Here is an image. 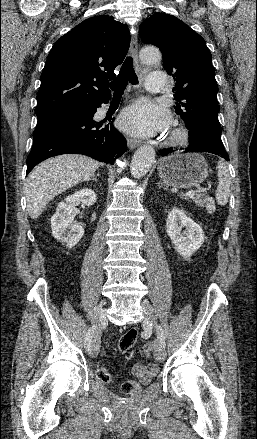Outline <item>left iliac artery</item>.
I'll return each instance as SVG.
<instances>
[{
	"mask_svg": "<svg viewBox=\"0 0 257 439\" xmlns=\"http://www.w3.org/2000/svg\"><path fill=\"white\" fill-rule=\"evenodd\" d=\"M157 334H158V339L160 341V344L165 347L166 343H165V335L164 332L162 330V328L160 326L157 327Z\"/></svg>",
	"mask_w": 257,
	"mask_h": 439,
	"instance_id": "1",
	"label": "left iliac artery"
}]
</instances>
